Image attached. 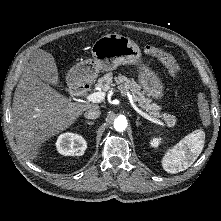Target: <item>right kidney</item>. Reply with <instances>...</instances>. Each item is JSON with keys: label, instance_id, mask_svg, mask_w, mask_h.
<instances>
[{"label": "right kidney", "instance_id": "right-kidney-1", "mask_svg": "<svg viewBox=\"0 0 221 221\" xmlns=\"http://www.w3.org/2000/svg\"><path fill=\"white\" fill-rule=\"evenodd\" d=\"M56 147L64 156H81L87 148V142L79 134L64 133L58 137Z\"/></svg>", "mask_w": 221, "mask_h": 221}]
</instances>
